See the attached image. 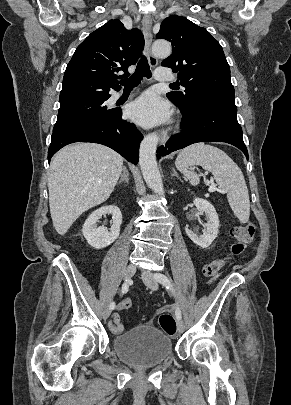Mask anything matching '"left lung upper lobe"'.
<instances>
[{
	"label": "left lung upper lobe",
	"instance_id": "left-lung-upper-lobe-1",
	"mask_svg": "<svg viewBox=\"0 0 291 405\" xmlns=\"http://www.w3.org/2000/svg\"><path fill=\"white\" fill-rule=\"evenodd\" d=\"M156 37L171 42L172 54L161 65L177 72L180 84L186 88L184 94L167 93L175 105L184 106L192 96L202 93H234L222 47L205 28L185 17L171 15L162 22Z\"/></svg>",
	"mask_w": 291,
	"mask_h": 405
}]
</instances>
